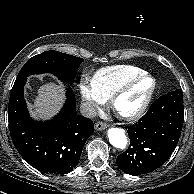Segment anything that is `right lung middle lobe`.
<instances>
[{
  "mask_svg": "<svg viewBox=\"0 0 194 194\" xmlns=\"http://www.w3.org/2000/svg\"><path fill=\"white\" fill-rule=\"evenodd\" d=\"M83 60L58 51H45L30 58L20 70L17 79L48 72L63 81H73Z\"/></svg>",
  "mask_w": 194,
  "mask_h": 194,
  "instance_id": "obj_1",
  "label": "right lung middle lobe"
}]
</instances>
